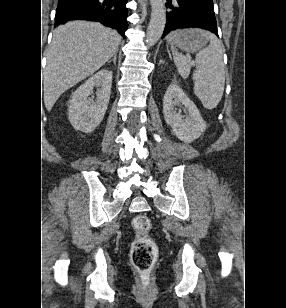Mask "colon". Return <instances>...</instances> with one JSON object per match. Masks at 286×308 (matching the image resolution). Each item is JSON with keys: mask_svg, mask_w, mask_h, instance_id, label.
<instances>
[{"mask_svg": "<svg viewBox=\"0 0 286 308\" xmlns=\"http://www.w3.org/2000/svg\"><path fill=\"white\" fill-rule=\"evenodd\" d=\"M151 227V221L145 215H138L133 220V228L137 232V237L131 246V261L140 273L143 284L149 283L150 272L158 258V247L148 235Z\"/></svg>", "mask_w": 286, "mask_h": 308, "instance_id": "1", "label": "colon"}]
</instances>
